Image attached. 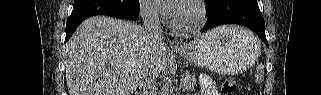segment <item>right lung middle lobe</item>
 <instances>
[{
	"instance_id": "1",
	"label": "right lung middle lobe",
	"mask_w": 321,
	"mask_h": 95,
	"mask_svg": "<svg viewBox=\"0 0 321 95\" xmlns=\"http://www.w3.org/2000/svg\"><path fill=\"white\" fill-rule=\"evenodd\" d=\"M139 0H75L71 14L117 13L133 14L139 11Z\"/></svg>"
}]
</instances>
